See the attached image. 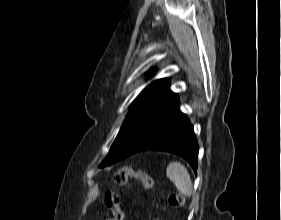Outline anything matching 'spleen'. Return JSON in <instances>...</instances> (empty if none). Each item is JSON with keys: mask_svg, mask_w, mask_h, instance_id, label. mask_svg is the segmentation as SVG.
<instances>
[{"mask_svg": "<svg viewBox=\"0 0 281 220\" xmlns=\"http://www.w3.org/2000/svg\"><path fill=\"white\" fill-rule=\"evenodd\" d=\"M166 175L182 194L186 196L192 195V181L190 174L184 165L180 162L169 163L166 169Z\"/></svg>", "mask_w": 281, "mask_h": 220, "instance_id": "1", "label": "spleen"}]
</instances>
